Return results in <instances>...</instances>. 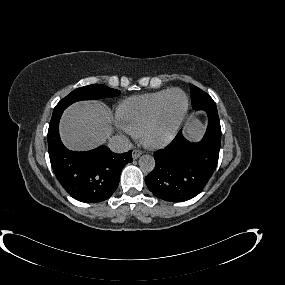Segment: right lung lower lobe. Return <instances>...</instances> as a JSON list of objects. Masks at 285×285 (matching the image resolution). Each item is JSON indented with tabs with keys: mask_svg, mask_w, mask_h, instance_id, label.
I'll return each instance as SVG.
<instances>
[{
	"mask_svg": "<svg viewBox=\"0 0 285 285\" xmlns=\"http://www.w3.org/2000/svg\"><path fill=\"white\" fill-rule=\"evenodd\" d=\"M62 113L52 115L48 129L49 157L57 179L78 201L96 203L107 200L118 187L121 170L133 161L131 151L115 154L104 145L87 152L68 150L59 136Z\"/></svg>",
	"mask_w": 285,
	"mask_h": 285,
	"instance_id": "98d812e1",
	"label": "right lung lower lobe"
}]
</instances>
